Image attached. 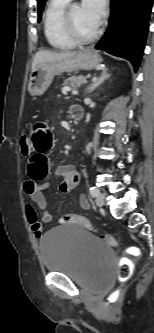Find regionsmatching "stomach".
<instances>
[{
    "label": "stomach",
    "mask_w": 154,
    "mask_h": 333,
    "mask_svg": "<svg viewBox=\"0 0 154 333\" xmlns=\"http://www.w3.org/2000/svg\"><path fill=\"white\" fill-rule=\"evenodd\" d=\"M102 62L100 55L90 49L77 53L74 57L38 64L30 74L28 90L31 95L40 96L45 93L55 75L78 70H91Z\"/></svg>",
    "instance_id": "0dacf381"
}]
</instances>
